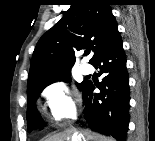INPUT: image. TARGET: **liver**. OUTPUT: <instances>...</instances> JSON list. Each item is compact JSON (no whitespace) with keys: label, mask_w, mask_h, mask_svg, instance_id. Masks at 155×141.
I'll list each match as a JSON object with an SVG mask.
<instances>
[{"label":"liver","mask_w":155,"mask_h":141,"mask_svg":"<svg viewBox=\"0 0 155 141\" xmlns=\"http://www.w3.org/2000/svg\"><path fill=\"white\" fill-rule=\"evenodd\" d=\"M82 138L86 139L84 141H114L113 138L102 136L98 133L91 132L90 130L79 133L75 129H68L64 132L55 134L45 141H81Z\"/></svg>","instance_id":"obj_1"}]
</instances>
